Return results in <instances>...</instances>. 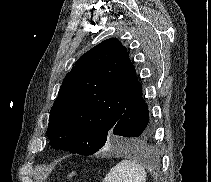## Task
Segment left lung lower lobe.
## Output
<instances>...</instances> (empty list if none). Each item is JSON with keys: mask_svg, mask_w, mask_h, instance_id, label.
Masks as SVG:
<instances>
[{"mask_svg": "<svg viewBox=\"0 0 211 182\" xmlns=\"http://www.w3.org/2000/svg\"><path fill=\"white\" fill-rule=\"evenodd\" d=\"M142 95L141 91L113 127L110 139L116 144H130L152 133L153 126L149 120L148 106Z\"/></svg>", "mask_w": 211, "mask_h": 182, "instance_id": "0a47b994", "label": "left lung lower lobe"}]
</instances>
